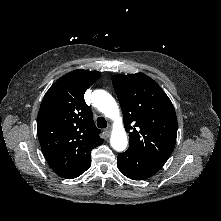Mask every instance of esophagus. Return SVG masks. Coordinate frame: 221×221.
I'll return each mask as SVG.
<instances>
[{"label":"esophagus","instance_id":"1","mask_svg":"<svg viewBox=\"0 0 221 221\" xmlns=\"http://www.w3.org/2000/svg\"><path fill=\"white\" fill-rule=\"evenodd\" d=\"M111 126H108L106 129H105V133L107 134V135H110V132H111Z\"/></svg>","mask_w":221,"mask_h":221}]
</instances>
